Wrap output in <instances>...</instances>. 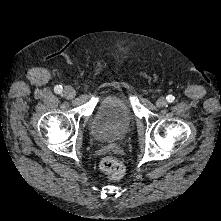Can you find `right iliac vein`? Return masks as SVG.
<instances>
[{
  "instance_id": "1",
  "label": "right iliac vein",
  "mask_w": 221,
  "mask_h": 221,
  "mask_svg": "<svg viewBox=\"0 0 221 221\" xmlns=\"http://www.w3.org/2000/svg\"><path fill=\"white\" fill-rule=\"evenodd\" d=\"M64 96L68 99H72L75 96V91L72 87L66 86L63 92Z\"/></svg>"
}]
</instances>
